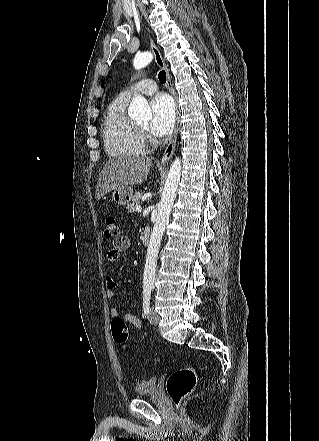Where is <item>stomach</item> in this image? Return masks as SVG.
<instances>
[{
    "label": "stomach",
    "instance_id": "1",
    "mask_svg": "<svg viewBox=\"0 0 319 441\" xmlns=\"http://www.w3.org/2000/svg\"><path fill=\"white\" fill-rule=\"evenodd\" d=\"M111 198L118 205H128L133 198V190L130 187L113 190Z\"/></svg>",
    "mask_w": 319,
    "mask_h": 441
}]
</instances>
